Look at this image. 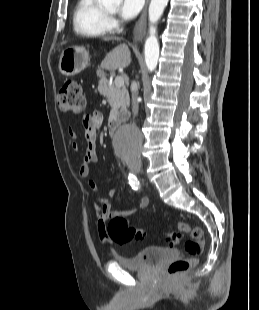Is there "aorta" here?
<instances>
[{
    "mask_svg": "<svg viewBox=\"0 0 259 310\" xmlns=\"http://www.w3.org/2000/svg\"><path fill=\"white\" fill-rule=\"evenodd\" d=\"M121 0H101L106 7H116ZM168 0H151L149 5V37L145 41V62L150 72L154 71L159 58V43L154 26L162 16ZM116 148L120 153L137 152L140 148L142 137L139 130L124 127L116 136Z\"/></svg>",
    "mask_w": 259,
    "mask_h": 310,
    "instance_id": "obj_1",
    "label": "aorta"
}]
</instances>
